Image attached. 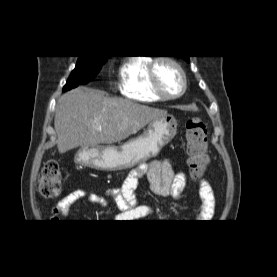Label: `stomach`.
<instances>
[{"label":"stomach","instance_id":"1","mask_svg":"<svg viewBox=\"0 0 277 277\" xmlns=\"http://www.w3.org/2000/svg\"><path fill=\"white\" fill-rule=\"evenodd\" d=\"M174 116L151 121L140 136L121 146H83L76 154V162L101 170H121L155 157L177 133Z\"/></svg>","mask_w":277,"mask_h":277}]
</instances>
